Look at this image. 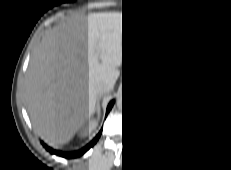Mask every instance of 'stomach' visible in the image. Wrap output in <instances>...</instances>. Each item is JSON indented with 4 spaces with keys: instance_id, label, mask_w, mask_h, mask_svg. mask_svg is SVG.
Segmentation results:
<instances>
[{
    "instance_id": "1",
    "label": "stomach",
    "mask_w": 231,
    "mask_h": 170,
    "mask_svg": "<svg viewBox=\"0 0 231 170\" xmlns=\"http://www.w3.org/2000/svg\"><path fill=\"white\" fill-rule=\"evenodd\" d=\"M131 43L133 44V45H138L137 43H141V42H137L135 39H132L131 40ZM139 45H141V44H139ZM151 60V59H150ZM144 75H145V77L147 78V79H149L150 77H152V75L154 76V72H152V69L150 68V66H149V59L147 60V63H146V66H145V68H144ZM153 73V74H152Z\"/></svg>"
}]
</instances>
